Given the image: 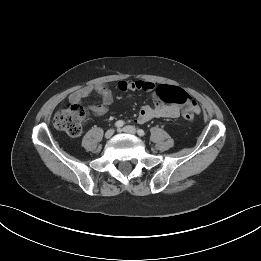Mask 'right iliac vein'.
I'll return each instance as SVG.
<instances>
[{
	"instance_id": "1",
	"label": "right iliac vein",
	"mask_w": 261,
	"mask_h": 261,
	"mask_svg": "<svg viewBox=\"0 0 261 261\" xmlns=\"http://www.w3.org/2000/svg\"><path fill=\"white\" fill-rule=\"evenodd\" d=\"M114 134V130L113 129H109L106 133H105V138L109 139L112 137V135Z\"/></svg>"
}]
</instances>
